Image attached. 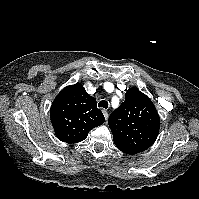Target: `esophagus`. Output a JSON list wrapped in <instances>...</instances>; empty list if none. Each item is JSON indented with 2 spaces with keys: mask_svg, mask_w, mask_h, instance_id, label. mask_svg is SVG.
I'll return each mask as SVG.
<instances>
[{
  "mask_svg": "<svg viewBox=\"0 0 199 199\" xmlns=\"http://www.w3.org/2000/svg\"><path fill=\"white\" fill-rule=\"evenodd\" d=\"M103 115H104L105 119L107 120L108 119V112L106 110H103Z\"/></svg>",
  "mask_w": 199,
  "mask_h": 199,
  "instance_id": "esophagus-1",
  "label": "esophagus"
}]
</instances>
